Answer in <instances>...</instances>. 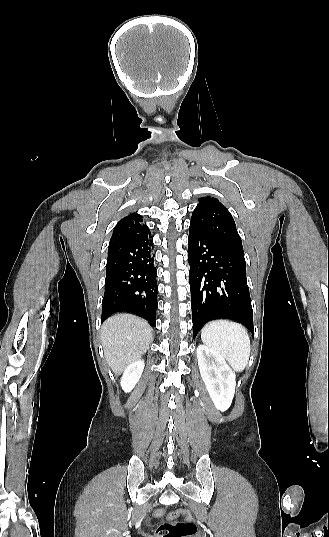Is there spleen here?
<instances>
[{
  "label": "spleen",
  "instance_id": "obj_1",
  "mask_svg": "<svg viewBox=\"0 0 329 537\" xmlns=\"http://www.w3.org/2000/svg\"><path fill=\"white\" fill-rule=\"evenodd\" d=\"M203 343L219 352L235 371H243L248 364L251 345L246 329L229 320H215L201 330Z\"/></svg>",
  "mask_w": 329,
  "mask_h": 537
}]
</instances>
